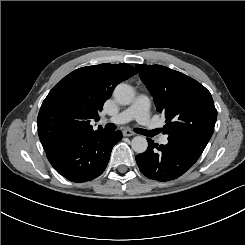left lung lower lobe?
I'll return each instance as SVG.
<instances>
[{
	"label": "left lung lower lobe",
	"mask_w": 245,
	"mask_h": 245,
	"mask_svg": "<svg viewBox=\"0 0 245 245\" xmlns=\"http://www.w3.org/2000/svg\"><path fill=\"white\" fill-rule=\"evenodd\" d=\"M148 140V148L136 156L138 167L146 177L157 181H170L182 176L198 160L203 151L193 149L168 139V144L158 145Z\"/></svg>",
	"instance_id": "obj_1"
}]
</instances>
